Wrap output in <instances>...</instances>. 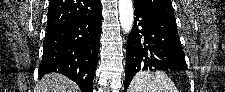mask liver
I'll use <instances>...</instances> for the list:
<instances>
[{
	"label": "liver",
	"mask_w": 225,
	"mask_h": 92,
	"mask_svg": "<svg viewBox=\"0 0 225 92\" xmlns=\"http://www.w3.org/2000/svg\"><path fill=\"white\" fill-rule=\"evenodd\" d=\"M77 85L58 73L47 74L37 85V92H78Z\"/></svg>",
	"instance_id": "obj_1"
}]
</instances>
